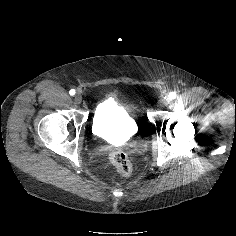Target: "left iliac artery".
Instances as JSON below:
<instances>
[{
  "label": "left iliac artery",
  "instance_id": "44dca946",
  "mask_svg": "<svg viewBox=\"0 0 236 236\" xmlns=\"http://www.w3.org/2000/svg\"><path fill=\"white\" fill-rule=\"evenodd\" d=\"M169 98L170 99H175L176 98V93H174V92L169 93Z\"/></svg>",
  "mask_w": 236,
  "mask_h": 236
}]
</instances>
